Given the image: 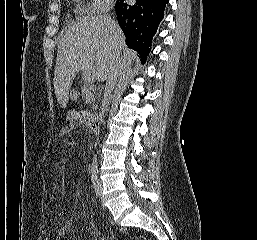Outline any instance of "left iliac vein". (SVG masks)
I'll return each instance as SVG.
<instances>
[{
	"mask_svg": "<svg viewBox=\"0 0 257 240\" xmlns=\"http://www.w3.org/2000/svg\"><path fill=\"white\" fill-rule=\"evenodd\" d=\"M99 190H100V192L102 191V184L101 183H99Z\"/></svg>",
	"mask_w": 257,
	"mask_h": 240,
	"instance_id": "1",
	"label": "left iliac vein"
}]
</instances>
